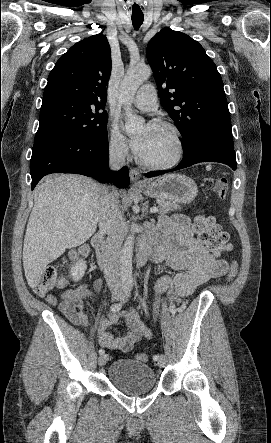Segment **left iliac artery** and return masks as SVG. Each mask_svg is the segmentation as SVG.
<instances>
[{
	"label": "left iliac artery",
	"mask_w": 271,
	"mask_h": 443,
	"mask_svg": "<svg viewBox=\"0 0 271 443\" xmlns=\"http://www.w3.org/2000/svg\"><path fill=\"white\" fill-rule=\"evenodd\" d=\"M135 294H136V296H138V299L140 300V302H141L145 312L148 313V308H147V305H146L145 301L138 295L137 292ZM159 357L160 356L158 354H156V355L153 356V360L154 361H158Z\"/></svg>",
	"instance_id": "44dca946"
}]
</instances>
